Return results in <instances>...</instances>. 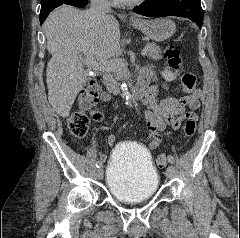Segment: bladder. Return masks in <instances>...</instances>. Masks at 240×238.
<instances>
[{"instance_id":"obj_1","label":"bladder","mask_w":240,"mask_h":238,"mask_svg":"<svg viewBox=\"0 0 240 238\" xmlns=\"http://www.w3.org/2000/svg\"><path fill=\"white\" fill-rule=\"evenodd\" d=\"M160 176L147 149L134 143L117 146L109 160L106 183L110 194L124 203L151 199Z\"/></svg>"}]
</instances>
